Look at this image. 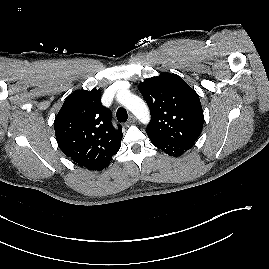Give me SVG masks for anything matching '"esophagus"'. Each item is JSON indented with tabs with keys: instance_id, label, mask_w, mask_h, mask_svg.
I'll list each match as a JSON object with an SVG mask.
<instances>
[{
	"instance_id": "1",
	"label": "esophagus",
	"mask_w": 269,
	"mask_h": 269,
	"mask_svg": "<svg viewBox=\"0 0 269 269\" xmlns=\"http://www.w3.org/2000/svg\"><path fill=\"white\" fill-rule=\"evenodd\" d=\"M135 122H136V118H135V116L130 115V116H129V120H128V122H127V125H131V124H133V123H135Z\"/></svg>"
}]
</instances>
